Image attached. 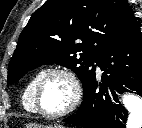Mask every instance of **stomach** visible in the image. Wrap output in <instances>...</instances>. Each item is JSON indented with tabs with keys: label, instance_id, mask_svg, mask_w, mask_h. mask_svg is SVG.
Instances as JSON below:
<instances>
[{
	"label": "stomach",
	"instance_id": "1",
	"mask_svg": "<svg viewBox=\"0 0 142 128\" xmlns=\"http://www.w3.org/2000/svg\"><path fill=\"white\" fill-rule=\"evenodd\" d=\"M26 128H64L62 125H41L30 123L26 126Z\"/></svg>",
	"mask_w": 142,
	"mask_h": 128
}]
</instances>
